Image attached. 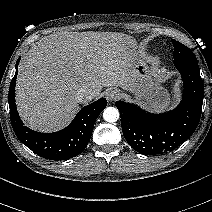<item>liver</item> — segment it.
Returning <instances> with one entry per match:
<instances>
[{"label": "liver", "instance_id": "obj_1", "mask_svg": "<svg viewBox=\"0 0 212 212\" xmlns=\"http://www.w3.org/2000/svg\"><path fill=\"white\" fill-rule=\"evenodd\" d=\"M133 44L130 36L109 32L43 37L18 69L16 104L22 120L34 130L56 131L70 123L78 111L79 90L99 96L103 87L127 89Z\"/></svg>", "mask_w": 212, "mask_h": 212}]
</instances>
